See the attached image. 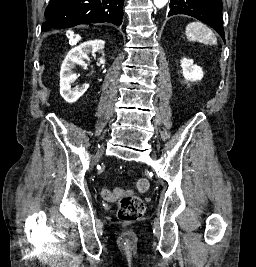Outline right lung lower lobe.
I'll list each match as a JSON object with an SVG mask.
<instances>
[{"instance_id":"98d812e1","label":"right lung lower lobe","mask_w":256,"mask_h":267,"mask_svg":"<svg viewBox=\"0 0 256 267\" xmlns=\"http://www.w3.org/2000/svg\"><path fill=\"white\" fill-rule=\"evenodd\" d=\"M124 0H51L45 10L42 31L78 24L109 22L120 26Z\"/></svg>"}]
</instances>
